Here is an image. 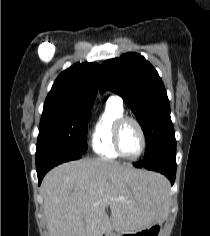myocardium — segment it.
Returning <instances> with one entry per match:
<instances>
[{
	"instance_id": "myocardium-1",
	"label": "myocardium",
	"mask_w": 210,
	"mask_h": 236,
	"mask_svg": "<svg viewBox=\"0 0 210 236\" xmlns=\"http://www.w3.org/2000/svg\"><path fill=\"white\" fill-rule=\"evenodd\" d=\"M127 122L134 123L136 125V127L138 128V131L141 136V148H140L139 152L133 157L126 156L121 149V143H120L121 130H122V127L124 126V124ZM146 143H147V141H146L145 131H144L141 123L136 118L123 115L116 120V122L114 124V130H113V145H114V149L117 152V154L119 155V157H121L125 160H129V161H135V160L139 159L145 151Z\"/></svg>"
}]
</instances>
